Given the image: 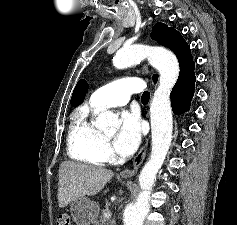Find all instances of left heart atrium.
<instances>
[{
  "label": "left heart atrium",
  "instance_id": "left-heart-atrium-1",
  "mask_svg": "<svg viewBox=\"0 0 237 225\" xmlns=\"http://www.w3.org/2000/svg\"><path fill=\"white\" fill-rule=\"evenodd\" d=\"M141 140V121L136 113L123 112L120 117L119 131L114 139L115 151L121 156L135 152Z\"/></svg>",
  "mask_w": 237,
  "mask_h": 225
}]
</instances>
